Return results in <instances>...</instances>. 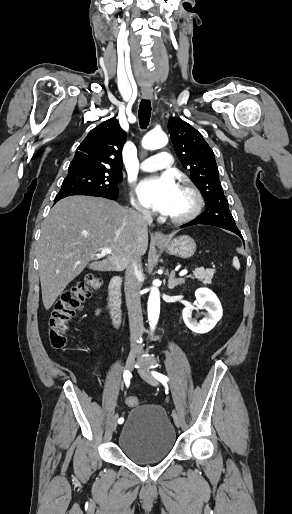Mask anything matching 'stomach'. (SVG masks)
<instances>
[{
	"label": "stomach",
	"mask_w": 292,
	"mask_h": 514,
	"mask_svg": "<svg viewBox=\"0 0 292 514\" xmlns=\"http://www.w3.org/2000/svg\"><path fill=\"white\" fill-rule=\"evenodd\" d=\"M160 248H164L167 254L177 258H191L196 252V244L189 236H178L171 242H155Z\"/></svg>",
	"instance_id": "obj_1"
}]
</instances>
